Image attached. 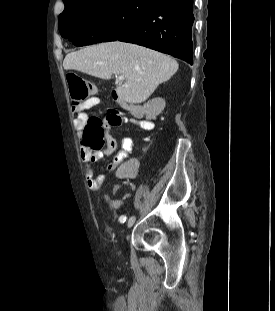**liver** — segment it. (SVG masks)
<instances>
[{"label": "liver", "mask_w": 275, "mask_h": 311, "mask_svg": "<svg viewBox=\"0 0 275 311\" xmlns=\"http://www.w3.org/2000/svg\"><path fill=\"white\" fill-rule=\"evenodd\" d=\"M65 70L74 69L109 80L123 75L125 83L116 92L121 102L146 101L160 83L178 70L173 58L140 45L120 41L101 43L66 55Z\"/></svg>", "instance_id": "liver-1"}]
</instances>
